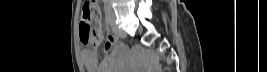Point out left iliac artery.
Instances as JSON below:
<instances>
[{
    "mask_svg": "<svg viewBox=\"0 0 267 72\" xmlns=\"http://www.w3.org/2000/svg\"><path fill=\"white\" fill-rule=\"evenodd\" d=\"M104 9H105V16H106L107 25H110V10H111V5H110V3L108 1L105 2Z\"/></svg>",
    "mask_w": 267,
    "mask_h": 72,
    "instance_id": "44dca946",
    "label": "left iliac artery"
}]
</instances>
